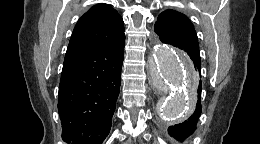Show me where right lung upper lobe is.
I'll use <instances>...</instances> for the list:
<instances>
[{
	"label": "right lung upper lobe",
	"mask_w": 260,
	"mask_h": 144,
	"mask_svg": "<svg viewBox=\"0 0 260 144\" xmlns=\"http://www.w3.org/2000/svg\"><path fill=\"white\" fill-rule=\"evenodd\" d=\"M125 39L123 19L107 4L91 7L77 22L66 54Z\"/></svg>",
	"instance_id": "obj_1"
}]
</instances>
